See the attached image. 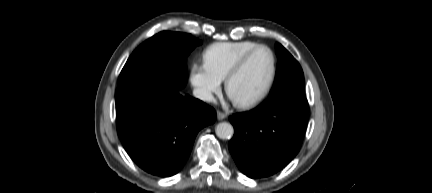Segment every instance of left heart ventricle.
<instances>
[{"mask_svg": "<svg viewBox=\"0 0 432 193\" xmlns=\"http://www.w3.org/2000/svg\"><path fill=\"white\" fill-rule=\"evenodd\" d=\"M271 68V54L266 49L258 50L231 81L229 88L231 98L243 101L260 94L269 80Z\"/></svg>", "mask_w": 432, "mask_h": 193, "instance_id": "1", "label": "left heart ventricle"}]
</instances>
